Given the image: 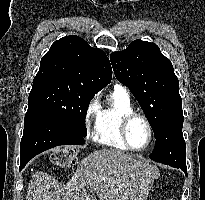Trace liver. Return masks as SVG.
Segmentation results:
<instances>
[{"label":"liver","mask_w":205,"mask_h":200,"mask_svg":"<svg viewBox=\"0 0 205 200\" xmlns=\"http://www.w3.org/2000/svg\"><path fill=\"white\" fill-rule=\"evenodd\" d=\"M158 175L155 166L119 150L104 148L83 158L66 184L36 171L26 200H81L80 191L85 187L95 191L100 200H146Z\"/></svg>","instance_id":"obj_1"}]
</instances>
